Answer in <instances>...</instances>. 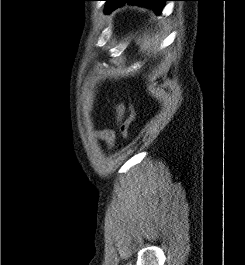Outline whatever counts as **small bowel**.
I'll use <instances>...</instances> for the list:
<instances>
[{"instance_id": "obj_1", "label": "small bowel", "mask_w": 245, "mask_h": 265, "mask_svg": "<svg viewBox=\"0 0 245 265\" xmlns=\"http://www.w3.org/2000/svg\"><path fill=\"white\" fill-rule=\"evenodd\" d=\"M125 107L123 104L116 106L117 120L121 121L124 115ZM98 137L104 141L108 146H113L115 140V132L112 129H103L98 132Z\"/></svg>"}]
</instances>
